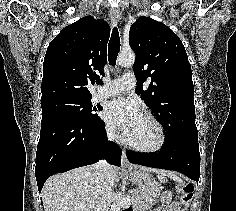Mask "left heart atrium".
I'll use <instances>...</instances> for the list:
<instances>
[{
  "mask_svg": "<svg viewBox=\"0 0 236 211\" xmlns=\"http://www.w3.org/2000/svg\"><path fill=\"white\" fill-rule=\"evenodd\" d=\"M142 117L139 107L131 99L118 98L108 103L104 111L105 120L118 128L124 136Z\"/></svg>",
  "mask_w": 236,
  "mask_h": 211,
  "instance_id": "39dd6f15",
  "label": "left heart atrium"
}]
</instances>
